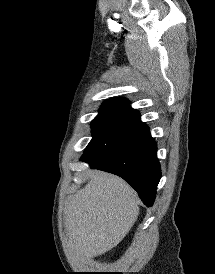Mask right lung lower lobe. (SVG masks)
Instances as JSON below:
<instances>
[{
  "label": "right lung lower lobe",
  "instance_id": "right-lung-lower-lobe-1",
  "mask_svg": "<svg viewBox=\"0 0 215 274\" xmlns=\"http://www.w3.org/2000/svg\"><path fill=\"white\" fill-rule=\"evenodd\" d=\"M91 168L101 169L125 179L147 206H152L161 178L157 146L146 131L129 149L112 162L105 164L95 159H81Z\"/></svg>",
  "mask_w": 215,
  "mask_h": 274
}]
</instances>
